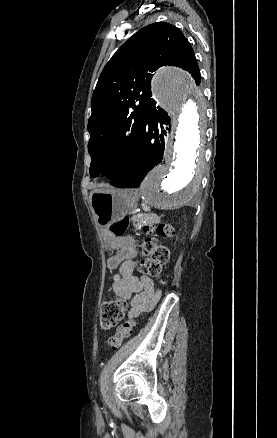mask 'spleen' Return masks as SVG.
Returning <instances> with one entry per match:
<instances>
[{
    "instance_id": "1",
    "label": "spleen",
    "mask_w": 277,
    "mask_h": 438,
    "mask_svg": "<svg viewBox=\"0 0 277 438\" xmlns=\"http://www.w3.org/2000/svg\"><path fill=\"white\" fill-rule=\"evenodd\" d=\"M142 208L145 210V212H150L149 206H145V204H143Z\"/></svg>"
}]
</instances>
